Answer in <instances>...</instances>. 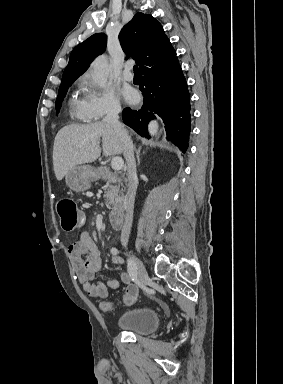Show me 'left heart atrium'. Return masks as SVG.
Returning a JSON list of instances; mask_svg holds the SVG:
<instances>
[{"label":"left heart atrium","mask_w":283,"mask_h":384,"mask_svg":"<svg viewBox=\"0 0 283 384\" xmlns=\"http://www.w3.org/2000/svg\"><path fill=\"white\" fill-rule=\"evenodd\" d=\"M122 95L128 104H135L139 99L138 93L131 88H124Z\"/></svg>","instance_id":"obj_1"}]
</instances>
